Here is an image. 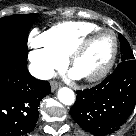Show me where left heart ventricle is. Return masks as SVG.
<instances>
[{
	"label": "left heart ventricle",
	"mask_w": 136,
	"mask_h": 136,
	"mask_svg": "<svg viewBox=\"0 0 136 136\" xmlns=\"http://www.w3.org/2000/svg\"><path fill=\"white\" fill-rule=\"evenodd\" d=\"M113 50V37L109 33L98 36L87 51L77 60L74 70L80 75H89L101 69Z\"/></svg>",
	"instance_id": "b2bd125f"
}]
</instances>
